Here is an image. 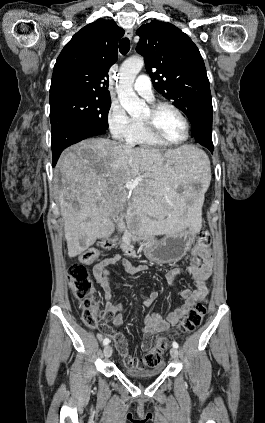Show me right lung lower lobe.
<instances>
[{"label": "right lung lower lobe", "instance_id": "right-lung-lower-lobe-1", "mask_svg": "<svg viewBox=\"0 0 265 423\" xmlns=\"http://www.w3.org/2000/svg\"><path fill=\"white\" fill-rule=\"evenodd\" d=\"M97 127L74 119H63L52 126L53 165L56 164L62 150L88 137L104 134Z\"/></svg>", "mask_w": 265, "mask_h": 423}]
</instances>
